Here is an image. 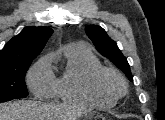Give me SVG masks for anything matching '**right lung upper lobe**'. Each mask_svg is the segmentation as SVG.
<instances>
[{
	"label": "right lung upper lobe",
	"mask_w": 165,
	"mask_h": 120,
	"mask_svg": "<svg viewBox=\"0 0 165 120\" xmlns=\"http://www.w3.org/2000/svg\"><path fill=\"white\" fill-rule=\"evenodd\" d=\"M52 33L49 27H25L0 50V62L35 59Z\"/></svg>",
	"instance_id": "cb5924a9"
}]
</instances>
